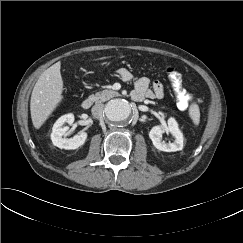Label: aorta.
Instances as JSON below:
<instances>
[{
    "mask_svg": "<svg viewBox=\"0 0 243 243\" xmlns=\"http://www.w3.org/2000/svg\"><path fill=\"white\" fill-rule=\"evenodd\" d=\"M130 114L131 107L124 99L112 100L105 106V115L112 122L122 123L128 120Z\"/></svg>",
    "mask_w": 243,
    "mask_h": 243,
    "instance_id": "aorta-1",
    "label": "aorta"
}]
</instances>
